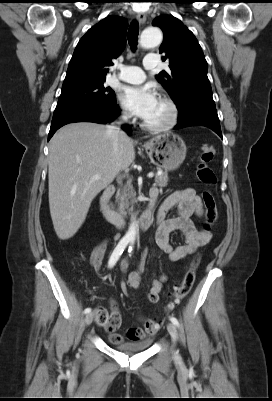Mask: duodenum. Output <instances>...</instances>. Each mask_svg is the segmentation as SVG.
Wrapping results in <instances>:
<instances>
[{
    "label": "duodenum",
    "instance_id": "duodenum-1",
    "mask_svg": "<svg viewBox=\"0 0 272 401\" xmlns=\"http://www.w3.org/2000/svg\"><path fill=\"white\" fill-rule=\"evenodd\" d=\"M115 192V187H107L99 198V207L104 218L110 223L117 227H122L127 224V218L119 213H117L112 205L111 198ZM158 198V193L149 195V206L142 213L138 220V226L141 230H147L152 223V209L154 207L155 201Z\"/></svg>",
    "mask_w": 272,
    "mask_h": 401
}]
</instances>
